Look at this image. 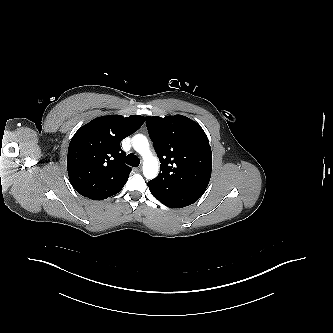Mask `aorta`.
I'll use <instances>...</instances> for the list:
<instances>
[{
	"mask_svg": "<svg viewBox=\"0 0 333 333\" xmlns=\"http://www.w3.org/2000/svg\"><path fill=\"white\" fill-rule=\"evenodd\" d=\"M132 146L144 159L143 174L147 179H153L159 171L158 159L150 152L149 142L146 136L137 134L132 138Z\"/></svg>",
	"mask_w": 333,
	"mask_h": 333,
	"instance_id": "aorta-1",
	"label": "aorta"
}]
</instances>
